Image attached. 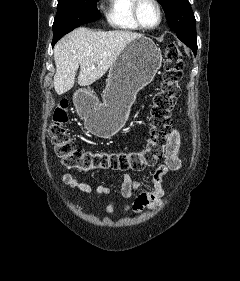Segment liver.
<instances>
[{
    "label": "liver",
    "mask_w": 240,
    "mask_h": 281,
    "mask_svg": "<svg viewBox=\"0 0 240 281\" xmlns=\"http://www.w3.org/2000/svg\"><path fill=\"white\" fill-rule=\"evenodd\" d=\"M141 36L130 31H92L80 27L63 37L54 47L56 93L62 95L74 86L79 66L80 86H89L99 80L123 49Z\"/></svg>",
    "instance_id": "1"
}]
</instances>
